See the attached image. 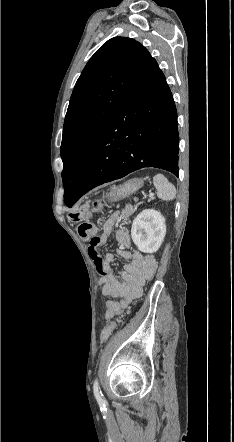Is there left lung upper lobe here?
Returning a JSON list of instances; mask_svg holds the SVG:
<instances>
[{"instance_id": "5c2ea615", "label": "left lung upper lobe", "mask_w": 234, "mask_h": 442, "mask_svg": "<svg viewBox=\"0 0 234 442\" xmlns=\"http://www.w3.org/2000/svg\"><path fill=\"white\" fill-rule=\"evenodd\" d=\"M151 59L139 42L115 37L86 64L71 95L63 126L64 202L76 192L100 132Z\"/></svg>"}]
</instances>
